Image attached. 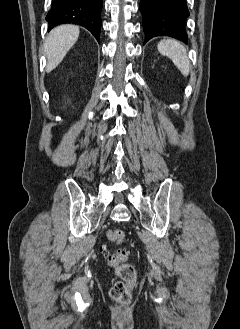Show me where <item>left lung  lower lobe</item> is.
I'll return each mask as SVG.
<instances>
[{"label":"left lung lower lobe","mask_w":240,"mask_h":329,"mask_svg":"<svg viewBox=\"0 0 240 329\" xmlns=\"http://www.w3.org/2000/svg\"><path fill=\"white\" fill-rule=\"evenodd\" d=\"M145 42L156 36H170L187 43L189 17L186 0H141Z\"/></svg>","instance_id":"left-lung-lower-lobe-1"}]
</instances>
